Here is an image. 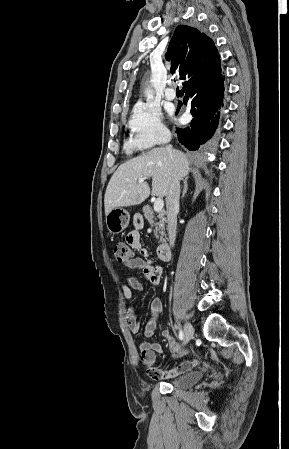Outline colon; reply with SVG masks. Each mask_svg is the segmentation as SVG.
I'll return each instance as SVG.
<instances>
[{
    "label": "colon",
    "instance_id": "1",
    "mask_svg": "<svg viewBox=\"0 0 289 449\" xmlns=\"http://www.w3.org/2000/svg\"><path fill=\"white\" fill-rule=\"evenodd\" d=\"M113 253L115 259L121 264H127L133 259L132 248L126 242H117L114 245Z\"/></svg>",
    "mask_w": 289,
    "mask_h": 449
}]
</instances>
